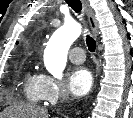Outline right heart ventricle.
I'll return each mask as SVG.
<instances>
[{"label": "right heart ventricle", "instance_id": "obj_1", "mask_svg": "<svg viewBox=\"0 0 133 118\" xmlns=\"http://www.w3.org/2000/svg\"><path fill=\"white\" fill-rule=\"evenodd\" d=\"M23 92L27 101L38 104L43 100L41 92V75L28 73L24 78Z\"/></svg>", "mask_w": 133, "mask_h": 118}]
</instances>
